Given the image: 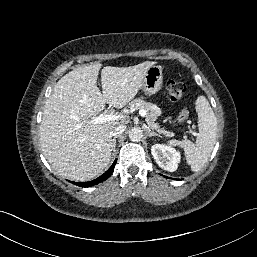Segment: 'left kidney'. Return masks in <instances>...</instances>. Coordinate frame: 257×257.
<instances>
[{"label":"left kidney","mask_w":257,"mask_h":257,"mask_svg":"<svg viewBox=\"0 0 257 257\" xmlns=\"http://www.w3.org/2000/svg\"><path fill=\"white\" fill-rule=\"evenodd\" d=\"M151 154L159 167L169 172L176 171L181 159L179 151L171 146L162 144H154L151 147Z\"/></svg>","instance_id":"5707ae66"}]
</instances>
